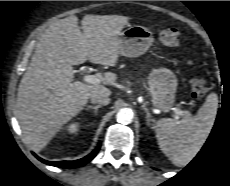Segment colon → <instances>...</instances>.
I'll return each mask as SVG.
<instances>
[{"label": "colon", "instance_id": "obj_1", "mask_svg": "<svg viewBox=\"0 0 230 186\" xmlns=\"http://www.w3.org/2000/svg\"><path fill=\"white\" fill-rule=\"evenodd\" d=\"M159 39L166 45L176 46L180 42V32L175 28L160 31ZM207 93L206 81L202 77H195L191 81V95L195 100H202Z\"/></svg>", "mask_w": 230, "mask_h": 186}]
</instances>
